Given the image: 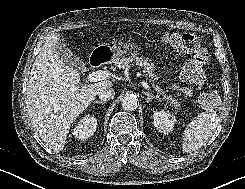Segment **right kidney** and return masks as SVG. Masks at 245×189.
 <instances>
[{"mask_svg":"<svg viewBox=\"0 0 245 189\" xmlns=\"http://www.w3.org/2000/svg\"><path fill=\"white\" fill-rule=\"evenodd\" d=\"M96 128L97 119L94 116L83 117L72 130V135L79 140H84L91 137L96 131Z\"/></svg>","mask_w":245,"mask_h":189,"instance_id":"obj_1","label":"right kidney"}]
</instances>
